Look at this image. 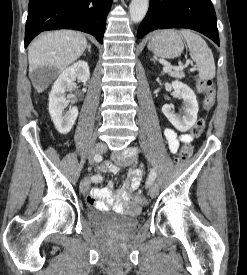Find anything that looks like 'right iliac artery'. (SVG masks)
<instances>
[{"label":"right iliac artery","instance_id":"1","mask_svg":"<svg viewBox=\"0 0 247 275\" xmlns=\"http://www.w3.org/2000/svg\"><path fill=\"white\" fill-rule=\"evenodd\" d=\"M101 160H102L101 155H95L94 156V161L95 162H100ZM91 180L93 182L97 183V182H100L102 180V177L100 175H93L92 178H91Z\"/></svg>","mask_w":247,"mask_h":275}]
</instances>
